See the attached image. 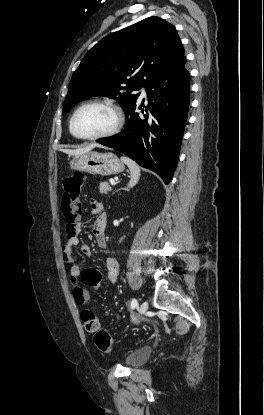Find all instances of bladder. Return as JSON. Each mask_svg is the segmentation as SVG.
<instances>
[{"label": "bladder", "instance_id": "obj_1", "mask_svg": "<svg viewBox=\"0 0 264 415\" xmlns=\"http://www.w3.org/2000/svg\"><path fill=\"white\" fill-rule=\"evenodd\" d=\"M152 353L153 350L149 346L137 349L127 355V357L125 358V363L128 367L140 366L148 361Z\"/></svg>", "mask_w": 264, "mask_h": 415}]
</instances>
